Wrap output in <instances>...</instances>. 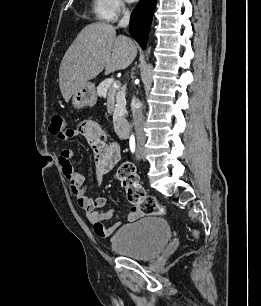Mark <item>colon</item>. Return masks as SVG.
Instances as JSON below:
<instances>
[{"label": "colon", "instance_id": "5ec220e1", "mask_svg": "<svg viewBox=\"0 0 261 306\" xmlns=\"http://www.w3.org/2000/svg\"><path fill=\"white\" fill-rule=\"evenodd\" d=\"M49 131L64 139L68 136L65 128V120L61 113L54 112L50 117ZM115 178L126 189L128 201L143 215H162L165 208L153 196L147 195L139 184L135 166L130 162L121 164L115 174Z\"/></svg>", "mask_w": 261, "mask_h": 306}]
</instances>
